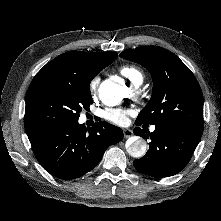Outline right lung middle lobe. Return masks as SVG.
Segmentation results:
<instances>
[{"label": "right lung middle lobe", "instance_id": "right-lung-middle-lobe-1", "mask_svg": "<svg viewBox=\"0 0 221 221\" xmlns=\"http://www.w3.org/2000/svg\"><path fill=\"white\" fill-rule=\"evenodd\" d=\"M92 78H33L26 96L24 124L78 121L80 112L93 103Z\"/></svg>", "mask_w": 221, "mask_h": 221}]
</instances>
